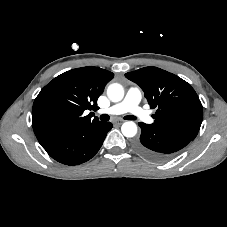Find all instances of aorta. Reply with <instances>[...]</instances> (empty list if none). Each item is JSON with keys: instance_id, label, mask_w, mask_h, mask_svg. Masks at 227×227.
Wrapping results in <instances>:
<instances>
[{"instance_id": "obj_1", "label": "aorta", "mask_w": 227, "mask_h": 227, "mask_svg": "<svg viewBox=\"0 0 227 227\" xmlns=\"http://www.w3.org/2000/svg\"><path fill=\"white\" fill-rule=\"evenodd\" d=\"M107 96L112 102H119L124 97V88L118 83L108 86ZM121 132L125 137H134L137 134V125L133 121L122 124Z\"/></svg>"}]
</instances>
